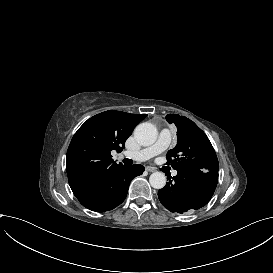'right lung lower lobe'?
<instances>
[{"mask_svg": "<svg viewBox=\"0 0 273 273\" xmlns=\"http://www.w3.org/2000/svg\"><path fill=\"white\" fill-rule=\"evenodd\" d=\"M143 171L144 167L141 165L119 166L76 198L92 211L104 212L114 209L126 198L131 180Z\"/></svg>", "mask_w": 273, "mask_h": 273, "instance_id": "obj_1", "label": "right lung lower lobe"}]
</instances>
